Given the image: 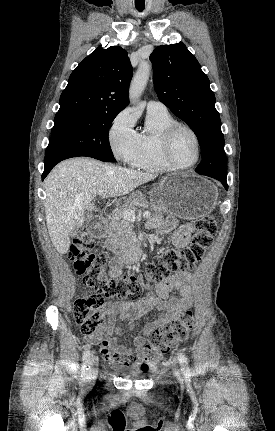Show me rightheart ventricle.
<instances>
[{"label": "right heart ventricle", "mask_w": 275, "mask_h": 431, "mask_svg": "<svg viewBox=\"0 0 275 431\" xmlns=\"http://www.w3.org/2000/svg\"><path fill=\"white\" fill-rule=\"evenodd\" d=\"M174 123L176 120L168 111H147L145 128L139 133V151L131 164L133 167L156 173L174 170L161 154L162 135Z\"/></svg>", "instance_id": "1"}]
</instances>
